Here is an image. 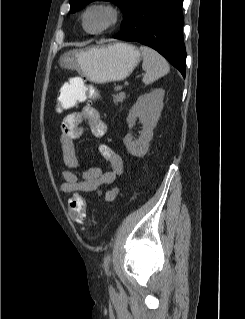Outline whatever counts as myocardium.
Segmentation results:
<instances>
[{"label":"myocardium","instance_id":"f54148a6","mask_svg":"<svg viewBox=\"0 0 245 319\" xmlns=\"http://www.w3.org/2000/svg\"><path fill=\"white\" fill-rule=\"evenodd\" d=\"M97 10L106 12L109 15V20L101 28L91 30L87 26V18L91 12L97 11ZM119 20H120V11L116 6L110 3L95 2L88 5L85 8L82 15V26L87 33L92 35H100L114 28L118 24Z\"/></svg>","mask_w":245,"mask_h":319}]
</instances>
